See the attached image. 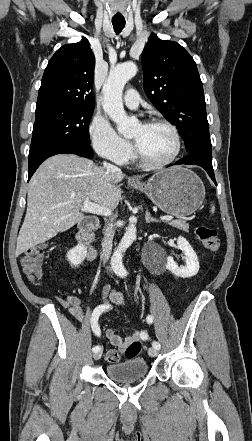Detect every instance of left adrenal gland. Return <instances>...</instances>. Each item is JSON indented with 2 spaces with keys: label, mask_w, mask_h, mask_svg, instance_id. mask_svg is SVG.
<instances>
[{
  "label": "left adrenal gland",
  "mask_w": 252,
  "mask_h": 441,
  "mask_svg": "<svg viewBox=\"0 0 252 441\" xmlns=\"http://www.w3.org/2000/svg\"><path fill=\"white\" fill-rule=\"evenodd\" d=\"M145 221H146V223H155V222H158L159 220H157L154 217H151L150 213L148 211H146Z\"/></svg>",
  "instance_id": "a2214340"
}]
</instances>
